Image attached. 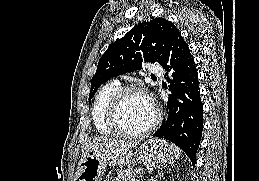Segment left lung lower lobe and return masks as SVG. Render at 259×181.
Segmentation results:
<instances>
[{
  "mask_svg": "<svg viewBox=\"0 0 259 181\" xmlns=\"http://www.w3.org/2000/svg\"><path fill=\"white\" fill-rule=\"evenodd\" d=\"M163 67L166 74L172 73V79L167 78L172 94L167 103L168 118L154 137L176 144L195 165L203 130V105L194 58L182 37L172 46Z\"/></svg>",
  "mask_w": 259,
  "mask_h": 181,
  "instance_id": "left-lung-lower-lobe-1",
  "label": "left lung lower lobe"
}]
</instances>
